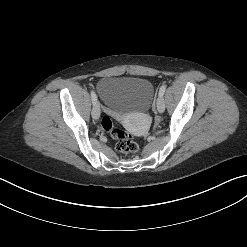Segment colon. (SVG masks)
<instances>
[{
	"mask_svg": "<svg viewBox=\"0 0 247 247\" xmlns=\"http://www.w3.org/2000/svg\"><path fill=\"white\" fill-rule=\"evenodd\" d=\"M103 130L108 132L116 141V149L123 154H133L138 150V144L131 135L124 130L116 128L109 116H104L101 121Z\"/></svg>",
	"mask_w": 247,
	"mask_h": 247,
	"instance_id": "colon-1",
	"label": "colon"
}]
</instances>
